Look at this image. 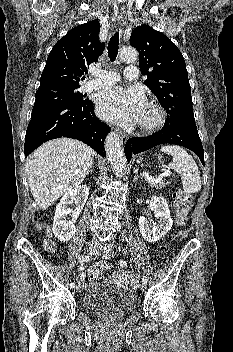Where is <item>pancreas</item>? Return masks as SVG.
Masks as SVG:
<instances>
[{
    "label": "pancreas",
    "mask_w": 233,
    "mask_h": 352,
    "mask_svg": "<svg viewBox=\"0 0 233 352\" xmlns=\"http://www.w3.org/2000/svg\"><path fill=\"white\" fill-rule=\"evenodd\" d=\"M148 183H150V185L154 188H157V189H161L162 187H165L166 186V183L164 181H160V182H150L148 181Z\"/></svg>",
    "instance_id": "pancreas-1"
}]
</instances>
